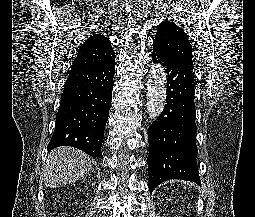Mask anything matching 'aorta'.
<instances>
[{"instance_id":"aorta-1","label":"aorta","mask_w":255,"mask_h":217,"mask_svg":"<svg viewBox=\"0 0 255 217\" xmlns=\"http://www.w3.org/2000/svg\"><path fill=\"white\" fill-rule=\"evenodd\" d=\"M166 101V73L156 65L150 71L147 81V112L150 118H157L163 111Z\"/></svg>"}]
</instances>
